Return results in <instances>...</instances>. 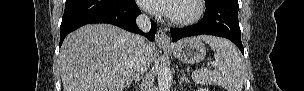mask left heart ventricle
I'll list each match as a JSON object with an SVG mask.
<instances>
[{
    "mask_svg": "<svg viewBox=\"0 0 304 91\" xmlns=\"http://www.w3.org/2000/svg\"><path fill=\"white\" fill-rule=\"evenodd\" d=\"M195 12V6L191 0H177L172 4L171 13L172 18L189 17Z\"/></svg>",
    "mask_w": 304,
    "mask_h": 91,
    "instance_id": "1",
    "label": "left heart ventricle"
}]
</instances>
